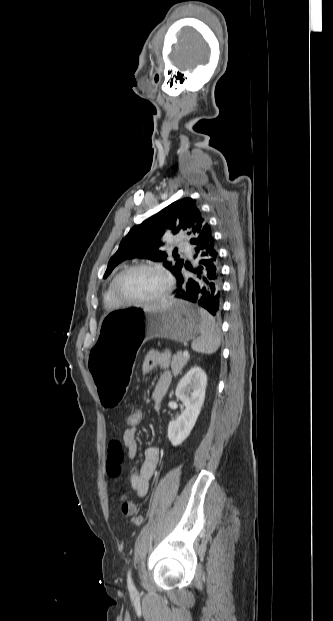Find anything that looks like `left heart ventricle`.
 Returning a JSON list of instances; mask_svg holds the SVG:
<instances>
[{"label":"left heart ventricle","mask_w":333,"mask_h":621,"mask_svg":"<svg viewBox=\"0 0 333 621\" xmlns=\"http://www.w3.org/2000/svg\"><path fill=\"white\" fill-rule=\"evenodd\" d=\"M166 289L165 279L156 271L136 270L125 275L119 292L131 300H150L161 296Z\"/></svg>","instance_id":"obj_1"}]
</instances>
